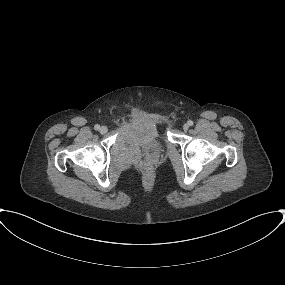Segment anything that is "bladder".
Instances as JSON below:
<instances>
[{
	"label": "bladder",
	"mask_w": 285,
	"mask_h": 285,
	"mask_svg": "<svg viewBox=\"0 0 285 285\" xmlns=\"http://www.w3.org/2000/svg\"><path fill=\"white\" fill-rule=\"evenodd\" d=\"M152 141L157 143L160 141V133L157 128H152Z\"/></svg>",
	"instance_id": "obj_1"
}]
</instances>
